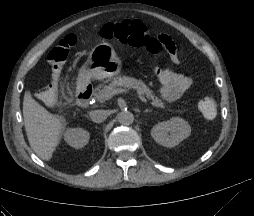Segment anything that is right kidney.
<instances>
[{
  "instance_id": "ca27d5eb",
  "label": "right kidney",
  "mask_w": 254,
  "mask_h": 216,
  "mask_svg": "<svg viewBox=\"0 0 254 216\" xmlns=\"http://www.w3.org/2000/svg\"><path fill=\"white\" fill-rule=\"evenodd\" d=\"M90 138L88 131L82 128H70L64 134L65 141L73 148L79 149L87 145Z\"/></svg>"
}]
</instances>
